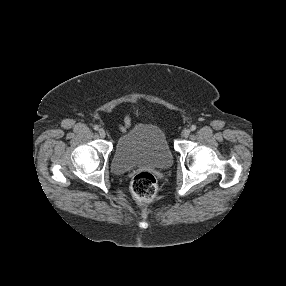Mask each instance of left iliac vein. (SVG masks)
<instances>
[{
	"label": "left iliac vein",
	"mask_w": 286,
	"mask_h": 286,
	"mask_svg": "<svg viewBox=\"0 0 286 286\" xmlns=\"http://www.w3.org/2000/svg\"><path fill=\"white\" fill-rule=\"evenodd\" d=\"M189 135H190V130H189V129H185V130L182 132V136H183L184 138H187Z\"/></svg>",
	"instance_id": "left-iliac-vein-1"
}]
</instances>
